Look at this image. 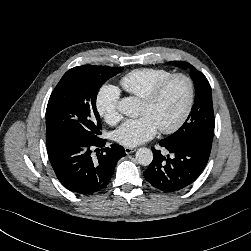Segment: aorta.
Instances as JSON below:
<instances>
[{
	"instance_id": "762f6f07",
	"label": "aorta",
	"mask_w": 251,
	"mask_h": 251,
	"mask_svg": "<svg viewBox=\"0 0 251 251\" xmlns=\"http://www.w3.org/2000/svg\"><path fill=\"white\" fill-rule=\"evenodd\" d=\"M139 101L134 97L122 98L118 104V111L128 117H135L139 113ZM136 160L140 165L148 166L153 160V152L149 148L141 147L136 151Z\"/></svg>"
}]
</instances>
